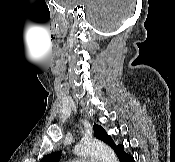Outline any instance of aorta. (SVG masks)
I'll use <instances>...</instances> for the list:
<instances>
[{"label":"aorta","mask_w":175,"mask_h":162,"mask_svg":"<svg viewBox=\"0 0 175 162\" xmlns=\"http://www.w3.org/2000/svg\"><path fill=\"white\" fill-rule=\"evenodd\" d=\"M74 152L77 155H89L95 157L99 162H118L114 151L99 140H83L78 143Z\"/></svg>","instance_id":"1"}]
</instances>
